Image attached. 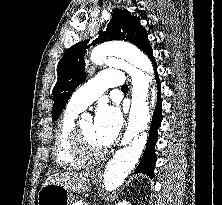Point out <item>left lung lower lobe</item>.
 <instances>
[{
	"instance_id": "1",
	"label": "left lung lower lobe",
	"mask_w": 222,
	"mask_h": 205,
	"mask_svg": "<svg viewBox=\"0 0 222 205\" xmlns=\"http://www.w3.org/2000/svg\"><path fill=\"white\" fill-rule=\"evenodd\" d=\"M140 49L149 57V59L153 63L155 75H156V79H157V87H158V90H160L161 83L159 81L158 74H157V65L155 62V57L153 56V51H152L150 42L148 40V37L144 40ZM161 104H162L161 94H160V92H158L157 104H156L153 118L151 121L147 146H146L145 152L141 158V161H140L137 169L135 170V173H143V174H147L151 177L154 176L153 170H154V166L156 164V154H155L154 147L156 145L157 137H158L157 130L162 122Z\"/></svg>"
}]
</instances>
